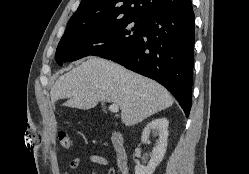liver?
<instances>
[{"mask_svg": "<svg viewBox=\"0 0 249 174\" xmlns=\"http://www.w3.org/2000/svg\"><path fill=\"white\" fill-rule=\"evenodd\" d=\"M51 101L88 110L101 103L117 104L126 126H134L170 107L174 100L159 83L102 58L90 57L62 75L50 91Z\"/></svg>", "mask_w": 249, "mask_h": 174, "instance_id": "liver-1", "label": "liver"}]
</instances>
